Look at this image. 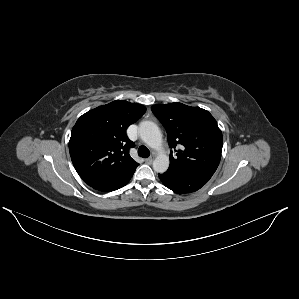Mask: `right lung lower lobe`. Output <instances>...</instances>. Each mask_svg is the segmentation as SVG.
Wrapping results in <instances>:
<instances>
[{"mask_svg": "<svg viewBox=\"0 0 299 299\" xmlns=\"http://www.w3.org/2000/svg\"><path fill=\"white\" fill-rule=\"evenodd\" d=\"M132 175H133V173L127 177L110 180V181L103 182L100 184L92 185L91 187L96 190L103 191V192L115 191V190L125 186L131 179Z\"/></svg>", "mask_w": 299, "mask_h": 299, "instance_id": "right-lung-lower-lobe-1", "label": "right lung lower lobe"}]
</instances>
